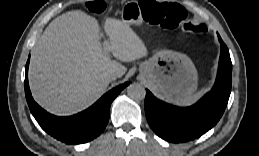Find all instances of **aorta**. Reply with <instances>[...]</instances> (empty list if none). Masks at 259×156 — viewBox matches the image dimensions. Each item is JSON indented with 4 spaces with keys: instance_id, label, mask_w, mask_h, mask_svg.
<instances>
[{
    "instance_id": "obj_1",
    "label": "aorta",
    "mask_w": 259,
    "mask_h": 156,
    "mask_svg": "<svg viewBox=\"0 0 259 156\" xmlns=\"http://www.w3.org/2000/svg\"><path fill=\"white\" fill-rule=\"evenodd\" d=\"M127 94L134 100H143L145 98L146 91L141 84L133 83L127 87Z\"/></svg>"
}]
</instances>
